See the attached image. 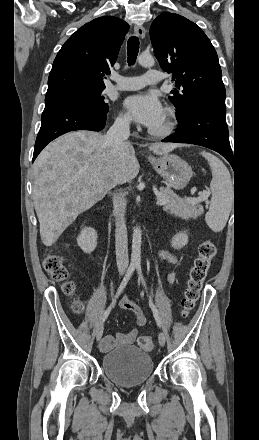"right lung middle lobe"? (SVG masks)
I'll return each instance as SVG.
<instances>
[{"mask_svg": "<svg viewBox=\"0 0 259 440\" xmlns=\"http://www.w3.org/2000/svg\"><path fill=\"white\" fill-rule=\"evenodd\" d=\"M104 89L75 87L46 94L45 107L61 104H81L108 112V104L104 102V96H101Z\"/></svg>", "mask_w": 259, "mask_h": 440, "instance_id": "right-lung-middle-lobe-1", "label": "right lung middle lobe"}]
</instances>
